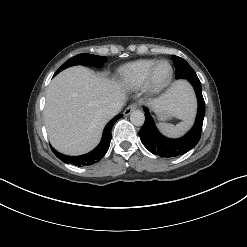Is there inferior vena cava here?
I'll use <instances>...</instances> for the list:
<instances>
[{
    "label": "inferior vena cava",
    "instance_id": "1",
    "mask_svg": "<svg viewBox=\"0 0 247 247\" xmlns=\"http://www.w3.org/2000/svg\"><path fill=\"white\" fill-rule=\"evenodd\" d=\"M123 104H124L123 101H117V102L111 104L110 106H108L105 109L104 115L107 118L113 117L114 115H116L121 110Z\"/></svg>",
    "mask_w": 247,
    "mask_h": 247
}]
</instances>
